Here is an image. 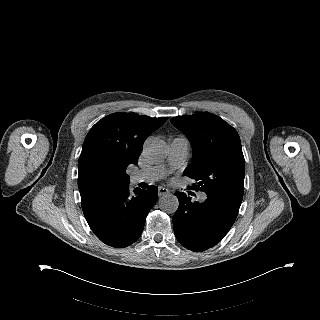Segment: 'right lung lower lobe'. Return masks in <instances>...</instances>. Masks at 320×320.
I'll return each mask as SVG.
<instances>
[{
  "label": "right lung lower lobe",
  "mask_w": 320,
  "mask_h": 320,
  "mask_svg": "<svg viewBox=\"0 0 320 320\" xmlns=\"http://www.w3.org/2000/svg\"><path fill=\"white\" fill-rule=\"evenodd\" d=\"M157 201V188L129 185L105 188L81 198L84 216L95 235L106 245L124 248L141 235L146 216Z\"/></svg>",
  "instance_id": "1"
}]
</instances>
